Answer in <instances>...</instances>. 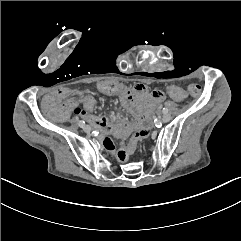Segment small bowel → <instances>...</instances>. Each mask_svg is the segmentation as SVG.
Instances as JSON below:
<instances>
[{
  "label": "small bowel",
  "mask_w": 241,
  "mask_h": 241,
  "mask_svg": "<svg viewBox=\"0 0 241 241\" xmlns=\"http://www.w3.org/2000/svg\"><path fill=\"white\" fill-rule=\"evenodd\" d=\"M116 83L119 87L116 96L121 98L123 106L128 109L132 116L131 121L121 120L113 123L105 116L90 114L89 112L95 105V100L90 95L81 96L76 100L69 97L63 104L62 109H54L52 102L63 97L67 93V90L64 87L46 95L43 101V108L51 118H64L67 116L68 111L73 108L76 114L82 116L94 129L100 132V140L104 148L111 153L116 151L118 161L126 163L129 157L136 151L139 142L149 137L152 132L151 117L149 120H140L139 118H148L151 113L150 107L159 104L162 100V95L157 90L150 91L147 95V100L150 105H147V88L144 84H135L131 94H128V89L125 86L118 82ZM170 97L175 101H182L185 98V92L179 87L178 93ZM80 104L83 106V109L78 107ZM80 110H82L83 113H81ZM125 140H128L127 143L124 142ZM117 143L118 149L116 150Z\"/></svg>",
  "instance_id": "obj_1"
}]
</instances>
